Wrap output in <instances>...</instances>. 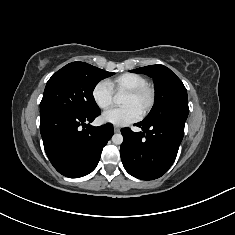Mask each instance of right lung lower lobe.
Listing matches in <instances>:
<instances>
[{"label":"right lung lower lobe","mask_w":235,"mask_h":235,"mask_svg":"<svg viewBox=\"0 0 235 235\" xmlns=\"http://www.w3.org/2000/svg\"><path fill=\"white\" fill-rule=\"evenodd\" d=\"M72 115L63 111L40 113V132L45 152L62 175L78 178L97 166L103 147L113 135V125L94 127L89 123L100 115Z\"/></svg>","instance_id":"98d812e1"}]
</instances>
